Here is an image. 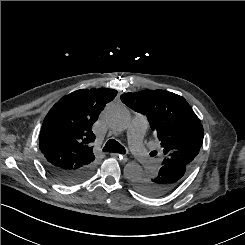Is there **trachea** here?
I'll use <instances>...</instances> for the list:
<instances>
[{"label":"trachea","instance_id":"1","mask_svg":"<svg viewBox=\"0 0 245 245\" xmlns=\"http://www.w3.org/2000/svg\"><path fill=\"white\" fill-rule=\"evenodd\" d=\"M103 151L105 152H116L120 154H125L126 150L125 148L116 140L110 139L105 144Z\"/></svg>","mask_w":245,"mask_h":245}]
</instances>
